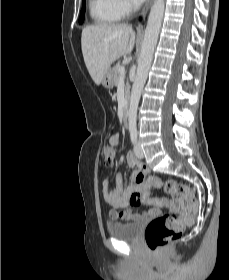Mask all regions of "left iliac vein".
Instances as JSON below:
<instances>
[{"mask_svg":"<svg viewBox=\"0 0 229 280\" xmlns=\"http://www.w3.org/2000/svg\"><path fill=\"white\" fill-rule=\"evenodd\" d=\"M134 153L138 158L144 157V153H143V150H142L139 142H136L134 145Z\"/></svg>","mask_w":229,"mask_h":280,"instance_id":"obj_1","label":"left iliac vein"}]
</instances>
